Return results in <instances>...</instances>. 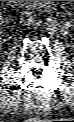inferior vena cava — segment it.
I'll return each mask as SVG.
<instances>
[{
    "label": "inferior vena cava",
    "mask_w": 74,
    "mask_h": 122,
    "mask_svg": "<svg viewBox=\"0 0 74 122\" xmlns=\"http://www.w3.org/2000/svg\"><path fill=\"white\" fill-rule=\"evenodd\" d=\"M21 22L25 25H33L36 21V16L31 11H23L20 16Z\"/></svg>",
    "instance_id": "inferior-vena-cava-1"
}]
</instances>
